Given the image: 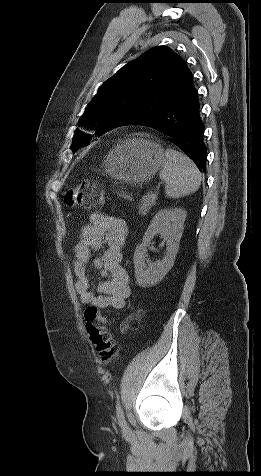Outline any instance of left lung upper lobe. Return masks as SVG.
I'll return each mask as SVG.
<instances>
[{"label": "left lung upper lobe", "mask_w": 261, "mask_h": 476, "mask_svg": "<svg viewBox=\"0 0 261 476\" xmlns=\"http://www.w3.org/2000/svg\"><path fill=\"white\" fill-rule=\"evenodd\" d=\"M193 85L186 62L171 49L156 46L105 81L87 105L79 124L98 122L96 135L127 124H141L177 101ZM76 130L71 149L89 145Z\"/></svg>", "instance_id": "5c2ea615"}]
</instances>
